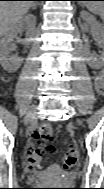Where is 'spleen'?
Instances as JSON below:
<instances>
[{
	"label": "spleen",
	"instance_id": "spleen-1",
	"mask_svg": "<svg viewBox=\"0 0 104 189\" xmlns=\"http://www.w3.org/2000/svg\"><path fill=\"white\" fill-rule=\"evenodd\" d=\"M85 6L93 13L103 12V2L102 1H85Z\"/></svg>",
	"mask_w": 104,
	"mask_h": 189
}]
</instances>
